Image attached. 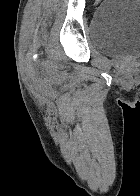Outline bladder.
I'll use <instances>...</instances> for the list:
<instances>
[{"label":"bladder","instance_id":"bladder-1","mask_svg":"<svg viewBox=\"0 0 140 196\" xmlns=\"http://www.w3.org/2000/svg\"><path fill=\"white\" fill-rule=\"evenodd\" d=\"M90 42L122 59L140 57V0H104L90 22Z\"/></svg>","mask_w":140,"mask_h":196}]
</instances>
